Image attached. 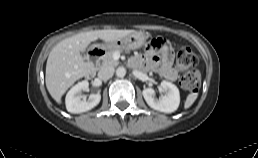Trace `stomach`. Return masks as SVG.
<instances>
[{"instance_id": "stomach-1", "label": "stomach", "mask_w": 258, "mask_h": 158, "mask_svg": "<svg viewBox=\"0 0 258 158\" xmlns=\"http://www.w3.org/2000/svg\"><path fill=\"white\" fill-rule=\"evenodd\" d=\"M146 39L147 36L144 32L134 31L125 37H122L115 41L99 44V46L107 50L112 48H120L125 50L137 49L144 45Z\"/></svg>"}]
</instances>
